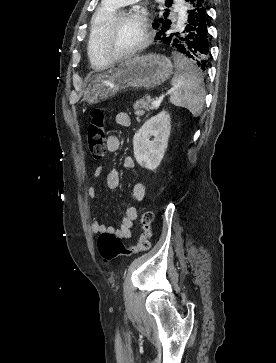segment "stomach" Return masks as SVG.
Listing matches in <instances>:
<instances>
[{
    "label": "stomach",
    "instance_id": "stomach-1",
    "mask_svg": "<svg viewBox=\"0 0 276 363\" xmlns=\"http://www.w3.org/2000/svg\"><path fill=\"white\" fill-rule=\"evenodd\" d=\"M172 71L171 61L164 55L135 56L92 80L83 100L93 105L114 97L128 87L154 89L166 82Z\"/></svg>",
    "mask_w": 276,
    "mask_h": 363
}]
</instances>
